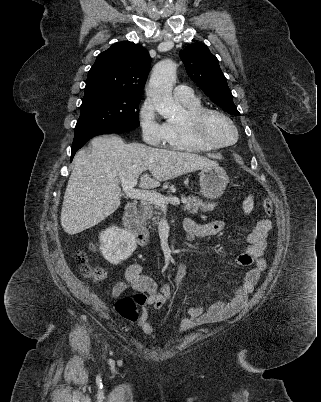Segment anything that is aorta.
<instances>
[{"label":"aorta","instance_id":"aorta-1","mask_svg":"<svg viewBox=\"0 0 321 402\" xmlns=\"http://www.w3.org/2000/svg\"><path fill=\"white\" fill-rule=\"evenodd\" d=\"M176 69V64L171 59L158 62L153 68L147 89L156 110L164 118L174 117L183 110L182 106L175 102L172 96Z\"/></svg>","mask_w":321,"mask_h":402}]
</instances>
